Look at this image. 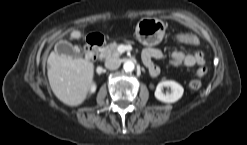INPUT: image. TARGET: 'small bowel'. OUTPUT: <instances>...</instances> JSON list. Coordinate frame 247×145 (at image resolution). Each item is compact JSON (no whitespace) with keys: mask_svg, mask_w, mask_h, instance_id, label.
Instances as JSON below:
<instances>
[{"mask_svg":"<svg viewBox=\"0 0 247 145\" xmlns=\"http://www.w3.org/2000/svg\"><path fill=\"white\" fill-rule=\"evenodd\" d=\"M178 43H187L191 45H198L199 38L195 34L184 33L178 38ZM143 61L147 66L149 73L152 76L159 75V68L154 64V60H160L164 58V54L160 49L147 48L142 54ZM171 65L186 66V67H198L199 69L205 64V56L201 51H195L192 53H183L181 51H174L170 55Z\"/></svg>","mask_w":247,"mask_h":145,"instance_id":"small-bowel-1","label":"small bowel"}]
</instances>
